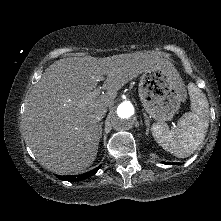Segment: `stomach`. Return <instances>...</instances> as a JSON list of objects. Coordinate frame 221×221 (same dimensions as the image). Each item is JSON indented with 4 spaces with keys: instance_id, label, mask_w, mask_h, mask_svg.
I'll use <instances>...</instances> for the list:
<instances>
[{
    "instance_id": "1",
    "label": "stomach",
    "mask_w": 221,
    "mask_h": 221,
    "mask_svg": "<svg viewBox=\"0 0 221 221\" xmlns=\"http://www.w3.org/2000/svg\"><path fill=\"white\" fill-rule=\"evenodd\" d=\"M138 93L146 112L161 123L171 120L186 100L184 83L174 67L145 71Z\"/></svg>"
}]
</instances>
